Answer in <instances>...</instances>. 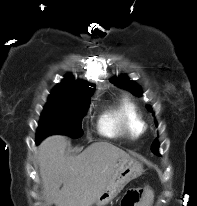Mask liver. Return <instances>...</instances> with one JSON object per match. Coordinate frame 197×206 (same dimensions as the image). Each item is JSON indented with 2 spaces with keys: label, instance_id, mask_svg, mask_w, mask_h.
Instances as JSON below:
<instances>
[{
  "label": "liver",
  "instance_id": "obj_1",
  "mask_svg": "<svg viewBox=\"0 0 197 206\" xmlns=\"http://www.w3.org/2000/svg\"><path fill=\"white\" fill-rule=\"evenodd\" d=\"M66 146L67 140L61 135L47 137L39 145L45 199L56 206H91L108 184L119 160L129 156L107 142L93 143L77 156L65 155Z\"/></svg>",
  "mask_w": 197,
  "mask_h": 206
}]
</instances>
